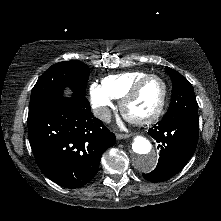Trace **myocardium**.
Wrapping results in <instances>:
<instances>
[{"instance_id": "1", "label": "myocardium", "mask_w": 221, "mask_h": 221, "mask_svg": "<svg viewBox=\"0 0 221 221\" xmlns=\"http://www.w3.org/2000/svg\"><path fill=\"white\" fill-rule=\"evenodd\" d=\"M151 79L159 80L161 82L162 88H163L161 101H160L157 109L152 114H150L149 116H146V117L137 118V117L131 116L127 111L128 104L137 96V94L139 93L141 88L144 86V84L147 83ZM167 95H168V87H167L165 80L159 75L148 74V75L144 76L143 78L139 79L128 90V92L121 98L120 111H121L123 117L127 121H129L133 124H136V125L150 124V123L154 122L155 120H157L161 116V114L163 113L165 105H166V101H167Z\"/></svg>"}]
</instances>
